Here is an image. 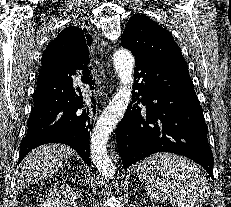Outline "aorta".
Instances as JSON below:
<instances>
[{"instance_id":"obj_1","label":"aorta","mask_w":231,"mask_h":207,"mask_svg":"<svg viewBox=\"0 0 231 207\" xmlns=\"http://www.w3.org/2000/svg\"><path fill=\"white\" fill-rule=\"evenodd\" d=\"M113 64L120 78V85L112 101L97 120L90 140L92 162L99 173L108 179L114 177L115 166L107 153V142L130 103L135 58L127 49H119L114 54Z\"/></svg>"}]
</instances>
